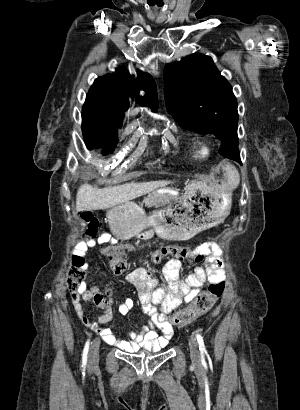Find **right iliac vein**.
Masks as SVG:
<instances>
[{"instance_id":"right-iliac-vein-1","label":"right iliac vein","mask_w":300,"mask_h":410,"mask_svg":"<svg viewBox=\"0 0 300 410\" xmlns=\"http://www.w3.org/2000/svg\"><path fill=\"white\" fill-rule=\"evenodd\" d=\"M99 346H100V341L99 339H95L91 345L90 348V355H89V363L91 365L96 364L99 358Z\"/></svg>"}]
</instances>
